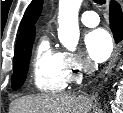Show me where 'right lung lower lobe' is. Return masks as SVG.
<instances>
[{
    "label": "right lung lower lobe",
    "instance_id": "1",
    "mask_svg": "<svg viewBox=\"0 0 123 113\" xmlns=\"http://www.w3.org/2000/svg\"><path fill=\"white\" fill-rule=\"evenodd\" d=\"M110 27L115 41H121L123 39V14L115 1L110 3Z\"/></svg>",
    "mask_w": 123,
    "mask_h": 113
}]
</instances>
